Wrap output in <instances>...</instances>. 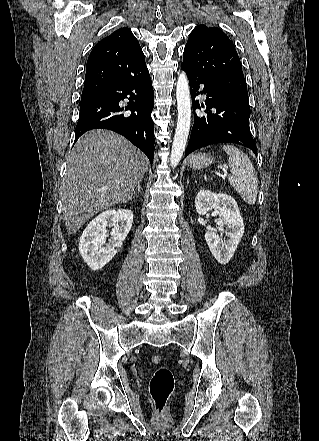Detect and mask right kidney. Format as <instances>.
I'll use <instances>...</instances> for the list:
<instances>
[{
  "mask_svg": "<svg viewBox=\"0 0 319 441\" xmlns=\"http://www.w3.org/2000/svg\"><path fill=\"white\" fill-rule=\"evenodd\" d=\"M132 223L133 213L128 209H111L95 217L80 237L79 252L86 264L98 270L109 263L122 246ZM108 227H112V237L106 242Z\"/></svg>",
  "mask_w": 319,
  "mask_h": 441,
  "instance_id": "obj_1",
  "label": "right kidney"
}]
</instances>
